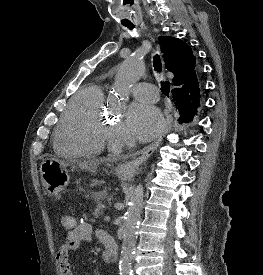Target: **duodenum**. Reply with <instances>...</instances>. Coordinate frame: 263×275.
Segmentation results:
<instances>
[{
  "instance_id": "duodenum-1",
  "label": "duodenum",
  "mask_w": 263,
  "mask_h": 275,
  "mask_svg": "<svg viewBox=\"0 0 263 275\" xmlns=\"http://www.w3.org/2000/svg\"><path fill=\"white\" fill-rule=\"evenodd\" d=\"M102 242L104 245L103 258L109 262L117 260L118 245L114 238L110 234L105 232L102 237Z\"/></svg>"
}]
</instances>
